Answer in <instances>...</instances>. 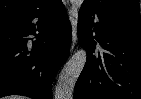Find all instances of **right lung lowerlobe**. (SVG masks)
<instances>
[{"instance_id":"1","label":"right lung lower lobe","mask_w":141,"mask_h":99,"mask_svg":"<svg viewBox=\"0 0 141 99\" xmlns=\"http://www.w3.org/2000/svg\"><path fill=\"white\" fill-rule=\"evenodd\" d=\"M29 35L37 39L29 42ZM71 38L61 0L0 19V98L52 99V82L68 58Z\"/></svg>"}]
</instances>
